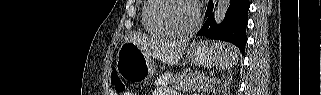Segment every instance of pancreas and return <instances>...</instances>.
Wrapping results in <instances>:
<instances>
[{
  "instance_id": "1",
  "label": "pancreas",
  "mask_w": 321,
  "mask_h": 95,
  "mask_svg": "<svg viewBox=\"0 0 321 95\" xmlns=\"http://www.w3.org/2000/svg\"><path fill=\"white\" fill-rule=\"evenodd\" d=\"M215 80L210 79L202 73H181L173 79L172 87L175 90L197 91L202 95L212 90Z\"/></svg>"
}]
</instances>
